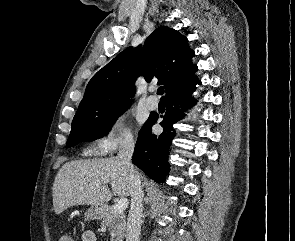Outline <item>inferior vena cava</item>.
<instances>
[{"label":"inferior vena cava","mask_w":295,"mask_h":241,"mask_svg":"<svg viewBox=\"0 0 295 241\" xmlns=\"http://www.w3.org/2000/svg\"><path fill=\"white\" fill-rule=\"evenodd\" d=\"M133 137H126L119 146L117 158L129 174L132 183L131 206L127 218L126 241H139L141 229V215L143 211V188L140 174L135 170L131 158L134 151Z\"/></svg>","instance_id":"602c4592"}]
</instances>
